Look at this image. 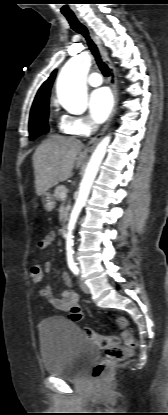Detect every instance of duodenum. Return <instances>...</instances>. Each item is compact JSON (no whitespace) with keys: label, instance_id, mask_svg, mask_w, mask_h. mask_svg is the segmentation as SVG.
<instances>
[{"label":"duodenum","instance_id":"1","mask_svg":"<svg viewBox=\"0 0 168 415\" xmlns=\"http://www.w3.org/2000/svg\"><path fill=\"white\" fill-rule=\"evenodd\" d=\"M67 230H68V225H67V223H65L60 229L61 235H66Z\"/></svg>","mask_w":168,"mask_h":415}]
</instances>
